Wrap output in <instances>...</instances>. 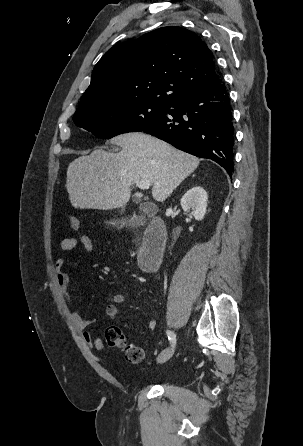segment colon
Wrapping results in <instances>:
<instances>
[{"label":"colon","instance_id":"1","mask_svg":"<svg viewBox=\"0 0 303 446\" xmlns=\"http://www.w3.org/2000/svg\"><path fill=\"white\" fill-rule=\"evenodd\" d=\"M69 224L73 230L81 231L80 221L75 216L69 217ZM105 340L110 347L121 349L129 363L138 364L143 360V350L137 345L128 343L123 331L118 326L112 325L106 328Z\"/></svg>","mask_w":303,"mask_h":446}]
</instances>
